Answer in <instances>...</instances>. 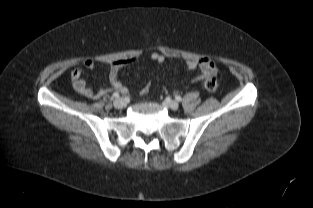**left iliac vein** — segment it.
<instances>
[{"instance_id": "4c4485c4", "label": "left iliac vein", "mask_w": 313, "mask_h": 208, "mask_svg": "<svg viewBox=\"0 0 313 208\" xmlns=\"http://www.w3.org/2000/svg\"><path fill=\"white\" fill-rule=\"evenodd\" d=\"M164 105H166L167 107H169L172 110H177L179 107L178 102L174 101V100H165L164 101Z\"/></svg>"}]
</instances>
